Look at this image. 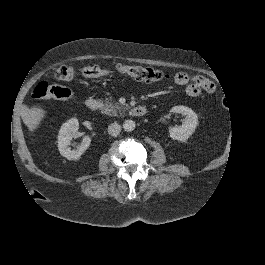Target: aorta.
I'll return each instance as SVG.
<instances>
[{"label":"aorta","instance_id":"obj_1","mask_svg":"<svg viewBox=\"0 0 265 265\" xmlns=\"http://www.w3.org/2000/svg\"><path fill=\"white\" fill-rule=\"evenodd\" d=\"M135 122L133 120H125L123 123V128L127 132H131L135 129Z\"/></svg>","mask_w":265,"mask_h":265}]
</instances>
